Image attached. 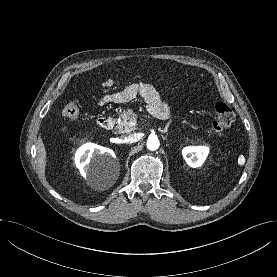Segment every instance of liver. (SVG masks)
<instances>
[{
    "mask_svg": "<svg viewBox=\"0 0 277 277\" xmlns=\"http://www.w3.org/2000/svg\"><path fill=\"white\" fill-rule=\"evenodd\" d=\"M46 149L41 137L38 138L37 143V156H38V164L41 169V172L44 173L46 167Z\"/></svg>",
    "mask_w": 277,
    "mask_h": 277,
    "instance_id": "liver-1",
    "label": "liver"
}]
</instances>
